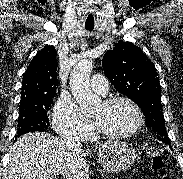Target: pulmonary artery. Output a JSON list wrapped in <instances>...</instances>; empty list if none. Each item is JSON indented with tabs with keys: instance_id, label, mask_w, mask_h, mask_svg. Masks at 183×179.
I'll use <instances>...</instances> for the list:
<instances>
[{
	"instance_id": "pulmonary-artery-1",
	"label": "pulmonary artery",
	"mask_w": 183,
	"mask_h": 179,
	"mask_svg": "<svg viewBox=\"0 0 183 179\" xmlns=\"http://www.w3.org/2000/svg\"><path fill=\"white\" fill-rule=\"evenodd\" d=\"M91 88L100 94H105L108 91V81L101 74H95L90 80Z\"/></svg>"
}]
</instances>
